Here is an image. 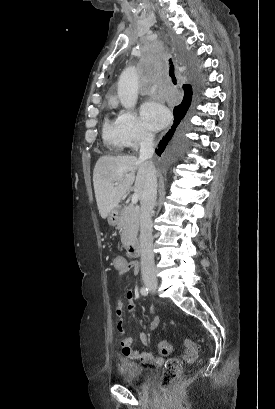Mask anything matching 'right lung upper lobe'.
<instances>
[{
  "label": "right lung upper lobe",
  "mask_w": 275,
  "mask_h": 409,
  "mask_svg": "<svg viewBox=\"0 0 275 409\" xmlns=\"http://www.w3.org/2000/svg\"><path fill=\"white\" fill-rule=\"evenodd\" d=\"M183 90H184V98H183L182 103L186 102L189 98L192 97V87H191V85H189V84L183 85Z\"/></svg>",
  "instance_id": "right-lung-upper-lobe-1"
}]
</instances>
